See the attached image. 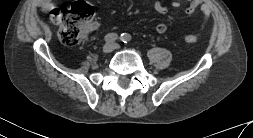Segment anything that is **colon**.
Masks as SVG:
<instances>
[{"label": "colon", "instance_id": "1", "mask_svg": "<svg viewBox=\"0 0 253 138\" xmlns=\"http://www.w3.org/2000/svg\"><path fill=\"white\" fill-rule=\"evenodd\" d=\"M51 18L58 24V37L68 46H73L82 41L93 22L94 9L84 1L74 3L71 7L53 8ZM189 45L196 44L200 38L195 34H188L184 38Z\"/></svg>", "mask_w": 253, "mask_h": 138}]
</instances>
